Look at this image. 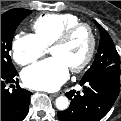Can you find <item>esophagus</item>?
I'll use <instances>...</instances> for the list:
<instances>
[{
	"mask_svg": "<svg viewBox=\"0 0 121 121\" xmlns=\"http://www.w3.org/2000/svg\"><path fill=\"white\" fill-rule=\"evenodd\" d=\"M59 95V93H52L50 94L51 97H57Z\"/></svg>",
	"mask_w": 121,
	"mask_h": 121,
	"instance_id": "esophagus-1",
	"label": "esophagus"
}]
</instances>
